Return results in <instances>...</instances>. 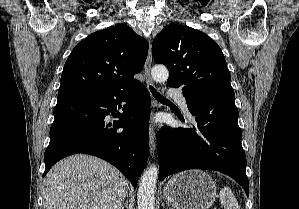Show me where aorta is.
Here are the masks:
<instances>
[{
  "mask_svg": "<svg viewBox=\"0 0 299 209\" xmlns=\"http://www.w3.org/2000/svg\"><path fill=\"white\" fill-rule=\"evenodd\" d=\"M153 80L164 82L168 79L169 72L163 65H156L151 70ZM158 177V167L151 165L141 176L137 193L138 209H155V188Z\"/></svg>",
  "mask_w": 299,
  "mask_h": 209,
  "instance_id": "obj_1",
  "label": "aorta"
}]
</instances>
